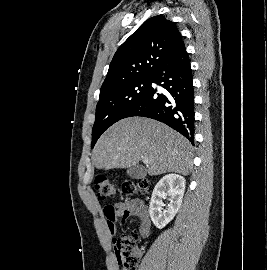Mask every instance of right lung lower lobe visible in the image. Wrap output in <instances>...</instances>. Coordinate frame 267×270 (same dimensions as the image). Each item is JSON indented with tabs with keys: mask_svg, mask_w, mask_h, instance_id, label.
<instances>
[{
	"mask_svg": "<svg viewBox=\"0 0 267 270\" xmlns=\"http://www.w3.org/2000/svg\"><path fill=\"white\" fill-rule=\"evenodd\" d=\"M151 83L163 87L158 93L150 86L144 97L124 118L143 116L161 121L194 144V93L192 71L184 43L173 51L151 76Z\"/></svg>",
	"mask_w": 267,
	"mask_h": 270,
	"instance_id": "1",
	"label": "right lung lower lobe"
}]
</instances>
